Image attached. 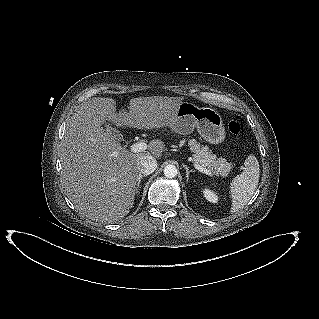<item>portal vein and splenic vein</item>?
Returning <instances> with one entry per match:
<instances>
[{"label":"portal vein and splenic vein","instance_id":"18ae733b","mask_svg":"<svg viewBox=\"0 0 319 319\" xmlns=\"http://www.w3.org/2000/svg\"><path fill=\"white\" fill-rule=\"evenodd\" d=\"M130 149H131V152L133 153L141 152L147 149V144L145 142H137V143H134ZM194 167L198 171L205 173L206 175L212 176V172L206 168H203L201 165L194 164Z\"/></svg>","mask_w":319,"mask_h":319}]
</instances>
